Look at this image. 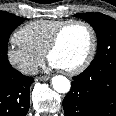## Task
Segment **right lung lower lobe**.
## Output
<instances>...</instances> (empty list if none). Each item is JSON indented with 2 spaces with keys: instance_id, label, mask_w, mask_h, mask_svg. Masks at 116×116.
Listing matches in <instances>:
<instances>
[{
  "instance_id": "1",
  "label": "right lung lower lobe",
  "mask_w": 116,
  "mask_h": 116,
  "mask_svg": "<svg viewBox=\"0 0 116 116\" xmlns=\"http://www.w3.org/2000/svg\"><path fill=\"white\" fill-rule=\"evenodd\" d=\"M34 79L13 68L0 76V116H25L29 110V88Z\"/></svg>"
}]
</instances>
